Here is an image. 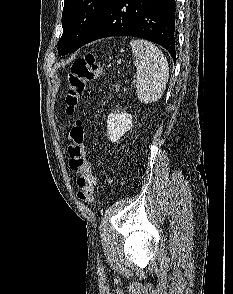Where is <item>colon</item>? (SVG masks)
Masks as SVG:
<instances>
[{
  "instance_id": "colon-1",
  "label": "colon",
  "mask_w": 233,
  "mask_h": 294,
  "mask_svg": "<svg viewBox=\"0 0 233 294\" xmlns=\"http://www.w3.org/2000/svg\"><path fill=\"white\" fill-rule=\"evenodd\" d=\"M101 66L93 54L76 59L68 74V89L66 94V113L73 115L80 96L87 85L101 73ZM70 167L77 174V197L85 202L94 200L96 178L92 173L90 162L84 146L85 129L81 120H76L68 132Z\"/></svg>"
}]
</instances>
